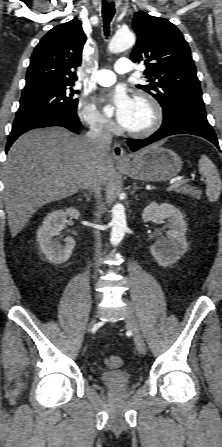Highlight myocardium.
<instances>
[{"label": "myocardium", "mask_w": 222, "mask_h": 447, "mask_svg": "<svg viewBox=\"0 0 222 447\" xmlns=\"http://www.w3.org/2000/svg\"><path fill=\"white\" fill-rule=\"evenodd\" d=\"M135 101L144 103L151 112V120L148 125L140 129H125V132L132 137L143 138L155 133L163 122V110L159 102L148 93L136 95Z\"/></svg>", "instance_id": "obj_1"}]
</instances>
